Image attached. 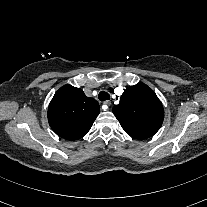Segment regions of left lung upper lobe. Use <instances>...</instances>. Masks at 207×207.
Wrapping results in <instances>:
<instances>
[{"label":"left lung upper lobe","instance_id":"obj_1","mask_svg":"<svg viewBox=\"0 0 207 207\" xmlns=\"http://www.w3.org/2000/svg\"><path fill=\"white\" fill-rule=\"evenodd\" d=\"M113 113L122 128L135 139L154 135L162 125L164 110L155 92L144 83L127 88Z\"/></svg>","mask_w":207,"mask_h":207}]
</instances>
